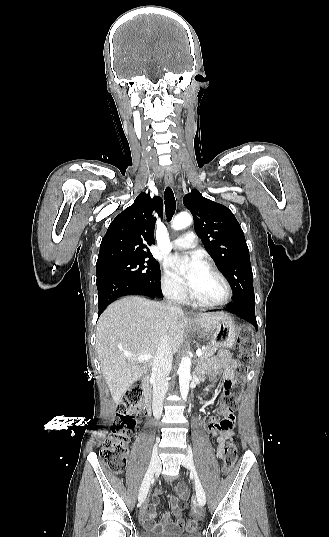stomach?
Returning a JSON list of instances; mask_svg holds the SVG:
<instances>
[{"label": "stomach", "mask_w": 329, "mask_h": 537, "mask_svg": "<svg viewBox=\"0 0 329 537\" xmlns=\"http://www.w3.org/2000/svg\"><path fill=\"white\" fill-rule=\"evenodd\" d=\"M209 332L205 335L211 340L213 345L230 348L234 345L240 333V327L234 323L232 317H226V319L220 321Z\"/></svg>", "instance_id": "1"}]
</instances>
